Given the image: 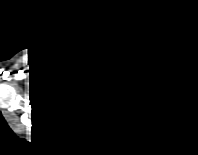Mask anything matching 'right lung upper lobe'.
Returning <instances> with one entry per match:
<instances>
[{
	"instance_id": "obj_1",
	"label": "right lung upper lobe",
	"mask_w": 198,
	"mask_h": 155,
	"mask_svg": "<svg viewBox=\"0 0 198 155\" xmlns=\"http://www.w3.org/2000/svg\"><path fill=\"white\" fill-rule=\"evenodd\" d=\"M94 88L95 83L90 77L79 73L71 74L56 89L55 103L61 108L75 109L89 99Z\"/></svg>"
}]
</instances>
